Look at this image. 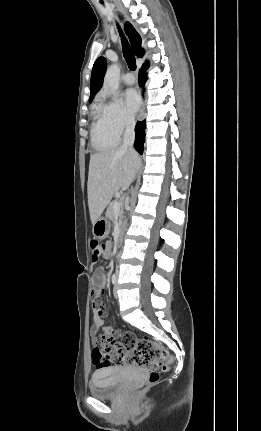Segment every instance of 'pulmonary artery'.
Segmentation results:
<instances>
[{
	"label": "pulmonary artery",
	"mask_w": 261,
	"mask_h": 431,
	"mask_svg": "<svg viewBox=\"0 0 261 431\" xmlns=\"http://www.w3.org/2000/svg\"><path fill=\"white\" fill-rule=\"evenodd\" d=\"M123 82L127 85H132L135 83V77L131 73H127L123 77Z\"/></svg>",
	"instance_id": "obj_1"
}]
</instances>
